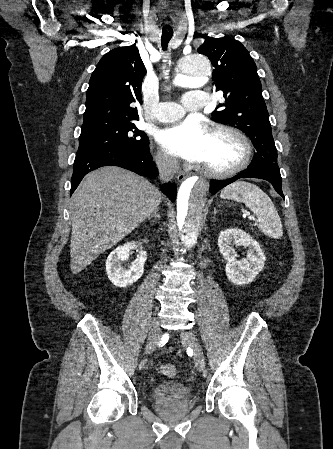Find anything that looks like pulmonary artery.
Masks as SVG:
<instances>
[{
  "label": "pulmonary artery",
  "mask_w": 333,
  "mask_h": 449,
  "mask_svg": "<svg viewBox=\"0 0 333 449\" xmlns=\"http://www.w3.org/2000/svg\"><path fill=\"white\" fill-rule=\"evenodd\" d=\"M208 102V96L200 90H191L182 97L181 104L175 102H161L155 106L154 116L160 122H170L181 118L185 110H198Z\"/></svg>",
  "instance_id": "obj_1"
}]
</instances>
